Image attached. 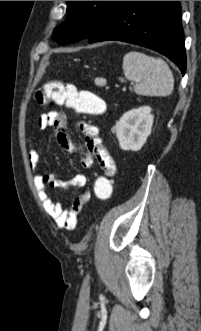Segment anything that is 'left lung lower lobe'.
Segmentation results:
<instances>
[{
	"label": "left lung lower lobe",
	"mask_w": 201,
	"mask_h": 331,
	"mask_svg": "<svg viewBox=\"0 0 201 331\" xmlns=\"http://www.w3.org/2000/svg\"><path fill=\"white\" fill-rule=\"evenodd\" d=\"M124 41L155 50L186 71L181 5L179 1H120L89 43Z\"/></svg>",
	"instance_id": "1"
}]
</instances>
